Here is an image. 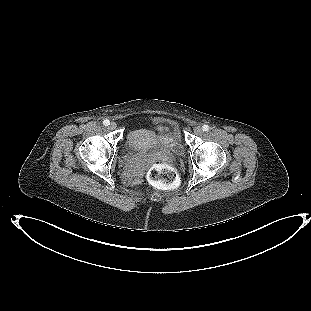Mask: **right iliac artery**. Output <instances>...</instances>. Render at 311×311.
Instances as JSON below:
<instances>
[{
  "label": "right iliac artery",
  "mask_w": 311,
  "mask_h": 311,
  "mask_svg": "<svg viewBox=\"0 0 311 311\" xmlns=\"http://www.w3.org/2000/svg\"><path fill=\"white\" fill-rule=\"evenodd\" d=\"M103 124H104L105 126H108V125L110 124V121H109L108 119H105V120L103 121Z\"/></svg>",
  "instance_id": "right-iliac-artery-1"
}]
</instances>
